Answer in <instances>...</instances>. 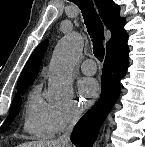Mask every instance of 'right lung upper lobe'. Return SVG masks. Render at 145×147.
Here are the masks:
<instances>
[{
  "instance_id": "1",
  "label": "right lung upper lobe",
  "mask_w": 145,
  "mask_h": 147,
  "mask_svg": "<svg viewBox=\"0 0 145 147\" xmlns=\"http://www.w3.org/2000/svg\"><path fill=\"white\" fill-rule=\"evenodd\" d=\"M95 3L104 24L112 32L111 39L107 43L108 48L113 42L126 34L124 30L125 20L119 16L120 8L112 0H95ZM46 46L47 41H44L33 51L17 82V89L29 87L32 84L38 73Z\"/></svg>"
}]
</instances>
